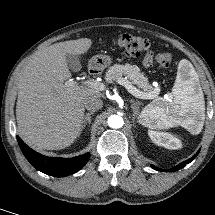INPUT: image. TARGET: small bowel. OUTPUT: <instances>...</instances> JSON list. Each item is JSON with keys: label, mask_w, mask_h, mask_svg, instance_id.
Masks as SVG:
<instances>
[{"label": "small bowel", "mask_w": 215, "mask_h": 215, "mask_svg": "<svg viewBox=\"0 0 215 215\" xmlns=\"http://www.w3.org/2000/svg\"><path fill=\"white\" fill-rule=\"evenodd\" d=\"M153 62V56L152 53H147V55L145 56L144 60H143V65L146 67H149L152 65Z\"/></svg>", "instance_id": "obj_1"}]
</instances>
